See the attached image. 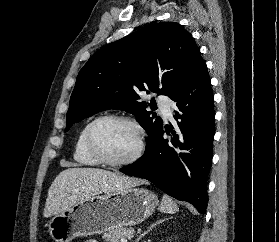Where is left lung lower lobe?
<instances>
[{
	"mask_svg": "<svg viewBox=\"0 0 279 242\" xmlns=\"http://www.w3.org/2000/svg\"><path fill=\"white\" fill-rule=\"evenodd\" d=\"M171 99L176 102L174 118L178 121L165 130L170 139L163 138L161 126L145 154L119 170L151 181L168 195L191 203L205 214L215 110L211 81L200 51Z\"/></svg>",
	"mask_w": 279,
	"mask_h": 242,
	"instance_id": "obj_1",
	"label": "left lung lower lobe"
}]
</instances>
